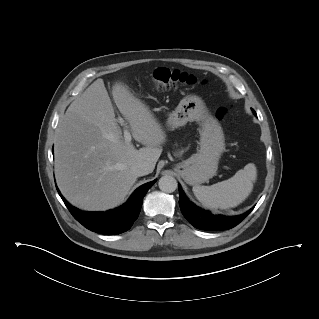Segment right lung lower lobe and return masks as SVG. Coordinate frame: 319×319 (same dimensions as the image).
<instances>
[{
  "label": "right lung lower lobe",
  "mask_w": 319,
  "mask_h": 319,
  "mask_svg": "<svg viewBox=\"0 0 319 319\" xmlns=\"http://www.w3.org/2000/svg\"><path fill=\"white\" fill-rule=\"evenodd\" d=\"M155 182L140 186L124 205L107 212L81 211L71 206L57 190L70 213L84 227L97 233L112 235L123 233L131 228L140 213L143 197Z\"/></svg>",
  "instance_id": "1"
}]
</instances>
